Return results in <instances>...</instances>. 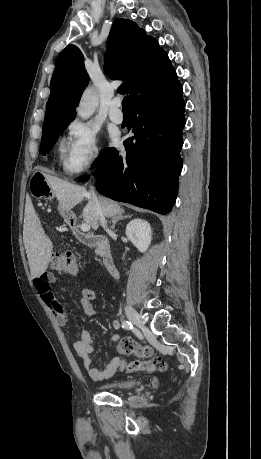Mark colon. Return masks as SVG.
<instances>
[{
    "instance_id": "colon-1",
    "label": "colon",
    "mask_w": 261,
    "mask_h": 459,
    "mask_svg": "<svg viewBox=\"0 0 261 459\" xmlns=\"http://www.w3.org/2000/svg\"><path fill=\"white\" fill-rule=\"evenodd\" d=\"M51 268L57 272L76 275L80 272L81 265L73 254L63 253L52 258ZM86 297L89 301H93L95 296L94 293H89ZM117 350L120 354L135 355L138 358L130 362L122 360L119 368L123 372L146 371L154 373L165 369L164 362L153 358L154 351L152 347L140 345L130 337L122 338L118 343Z\"/></svg>"
}]
</instances>
